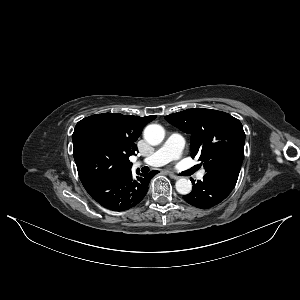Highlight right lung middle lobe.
<instances>
[{
	"mask_svg": "<svg viewBox=\"0 0 300 300\" xmlns=\"http://www.w3.org/2000/svg\"><path fill=\"white\" fill-rule=\"evenodd\" d=\"M78 174L82 184L119 177L131 169L112 140L94 122L82 119L72 135Z\"/></svg>",
	"mask_w": 300,
	"mask_h": 300,
	"instance_id": "dd1d6c3e",
	"label": "right lung middle lobe"
}]
</instances>
